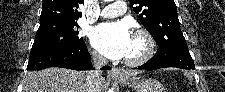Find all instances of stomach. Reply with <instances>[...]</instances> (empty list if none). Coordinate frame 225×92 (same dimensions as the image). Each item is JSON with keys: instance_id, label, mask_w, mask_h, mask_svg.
<instances>
[{"instance_id": "obj_1", "label": "stomach", "mask_w": 225, "mask_h": 92, "mask_svg": "<svg viewBox=\"0 0 225 92\" xmlns=\"http://www.w3.org/2000/svg\"><path fill=\"white\" fill-rule=\"evenodd\" d=\"M118 81L136 92H164L163 86L154 79H140L124 73L118 77Z\"/></svg>"}]
</instances>
